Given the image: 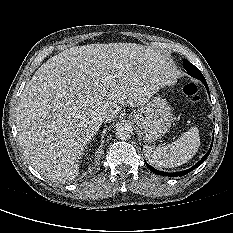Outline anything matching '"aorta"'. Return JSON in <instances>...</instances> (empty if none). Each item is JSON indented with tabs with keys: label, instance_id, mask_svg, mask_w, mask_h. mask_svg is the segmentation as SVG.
<instances>
[{
	"label": "aorta",
	"instance_id": "1",
	"mask_svg": "<svg viewBox=\"0 0 233 233\" xmlns=\"http://www.w3.org/2000/svg\"><path fill=\"white\" fill-rule=\"evenodd\" d=\"M133 134L132 126L127 122H119L115 126V135L121 140L129 139Z\"/></svg>",
	"mask_w": 233,
	"mask_h": 233
}]
</instances>
